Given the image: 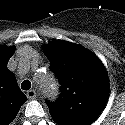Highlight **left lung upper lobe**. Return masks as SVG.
I'll list each match as a JSON object with an SVG mask.
<instances>
[{"mask_svg": "<svg viewBox=\"0 0 125 125\" xmlns=\"http://www.w3.org/2000/svg\"><path fill=\"white\" fill-rule=\"evenodd\" d=\"M43 52L58 77L60 96L47 101L58 125H90L104 109L109 96V80L100 59L82 46L54 40Z\"/></svg>", "mask_w": 125, "mask_h": 125, "instance_id": "1", "label": "left lung upper lobe"}]
</instances>
